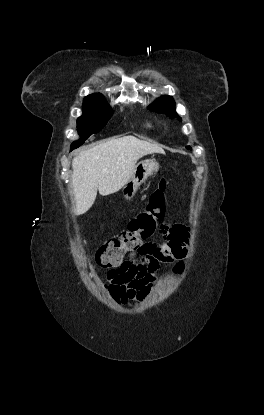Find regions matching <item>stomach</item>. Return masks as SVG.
Here are the masks:
<instances>
[{
	"instance_id": "obj_1",
	"label": "stomach",
	"mask_w": 264,
	"mask_h": 415,
	"mask_svg": "<svg viewBox=\"0 0 264 415\" xmlns=\"http://www.w3.org/2000/svg\"><path fill=\"white\" fill-rule=\"evenodd\" d=\"M159 170V163L154 159H146L139 162L135 170L123 186L122 195L127 201H131L136 194L140 185L147 180V178Z\"/></svg>"
}]
</instances>
